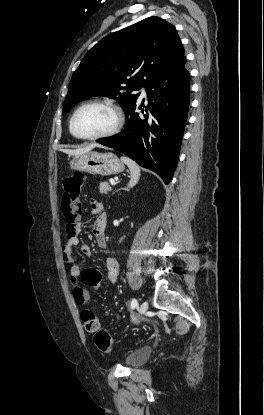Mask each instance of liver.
Returning a JSON list of instances; mask_svg holds the SVG:
<instances>
[{
	"instance_id": "obj_1",
	"label": "liver",
	"mask_w": 264,
	"mask_h": 415,
	"mask_svg": "<svg viewBox=\"0 0 264 415\" xmlns=\"http://www.w3.org/2000/svg\"><path fill=\"white\" fill-rule=\"evenodd\" d=\"M95 147H101V146L97 145V144H91V145H88V146L83 147V148H78V149H73V150L63 149L62 151L69 154V155H78V154L90 152Z\"/></svg>"
}]
</instances>
